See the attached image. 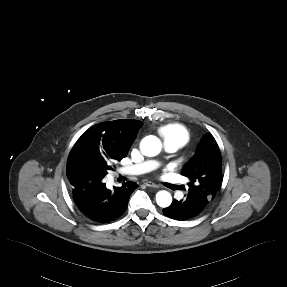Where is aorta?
Wrapping results in <instances>:
<instances>
[{
    "instance_id": "762f6f07",
    "label": "aorta",
    "mask_w": 287,
    "mask_h": 287,
    "mask_svg": "<svg viewBox=\"0 0 287 287\" xmlns=\"http://www.w3.org/2000/svg\"><path fill=\"white\" fill-rule=\"evenodd\" d=\"M160 140L153 135L146 136L140 142V150L143 155L153 157L161 151ZM156 202L160 207H168L172 203V196L168 191L161 190L156 194Z\"/></svg>"
}]
</instances>
